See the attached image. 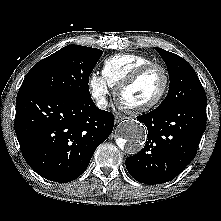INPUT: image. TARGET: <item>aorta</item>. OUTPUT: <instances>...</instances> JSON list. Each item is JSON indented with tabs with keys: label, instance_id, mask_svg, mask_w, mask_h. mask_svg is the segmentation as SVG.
Here are the masks:
<instances>
[{
	"label": "aorta",
	"instance_id": "1",
	"mask_svg": "<svg viewBox=\"0 0 221 221\" xmlns=\"http://www.w3.org/2000/svg\"><path fill=\"white\" fill-rule=\"evenodd\" d=\"M120 130L122 137L117 139L118 146L127 154H137L147 136L144 125L133 120H126Z\"/></svg>",
	"mask_w": 221,
	"mask_h": 221
}]
</instances>
